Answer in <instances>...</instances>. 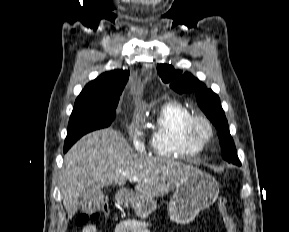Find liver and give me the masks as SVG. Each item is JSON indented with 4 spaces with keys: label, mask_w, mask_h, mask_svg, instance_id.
Returning a JSON list of instances; mask_svg holds the SVG:
<instances>
[{
    "label": "liver",
    "mask_w": 289,
    "mask_h": 232,
    "mask_svg": "<svg viewBox=\"0 0 289 232\" xmlns=\"http://www.w3.org/2000/svg\"><path fill=\"white\" fill-rule=\"evenodd\" d=\"M192 169L172 160L131 155L125 137L112 128L89 133L64 156L60 188L68 219L90 188L123 186L129 177L137 176L141 181L135 185L136 192L154 198L178 187Z\"/></svg>",
    "instance_id": "obj_1"
}]
</instances>
